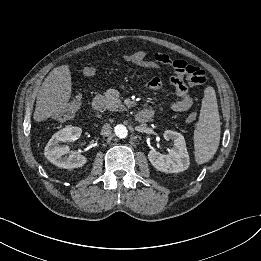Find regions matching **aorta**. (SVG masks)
<instances>
[{"instance_id":"1","label":"aorta","mask_w":261,"mask_h":261,"mask_svg":"<svg viewBox=\"0 0 261 261\" xmlns=\"http://www.w3.org/2000/svg\"><path fill=\"white\" fill-rule=\"evenodd\" d=\"M115 135L121 139H124L128 135V130L124 125H116L114 128Z\"/></svg>"}]
</instances>
